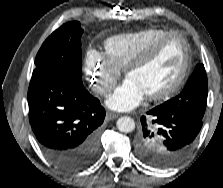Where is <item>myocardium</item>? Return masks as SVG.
Segmentation results:
<instances>
[{
	"mask_svg": "<svg viewBox=\"0 0 223 188\" xmlns=\"http://www.w3.org/2000/svg\"><path fill=\"white\" fill-rule=\"evenodd\" d=\"M171 37H179L184 44L185 47V55L184 61L181 68V71L178 77L174 80V82L169 85L168 87L164 88L163 90L147 95V99L150 101H161L168 99L174 96L176 93L180 91L183 87L184 83L186 82L190 68H191V61H192V52L191 46L188 39L178 31H169L164 33L163 35L156 38L152 41L148 46L142 49L124 68V73L128 77L130 72L133 71L135 68L139 67L147 60H149L154 53L158 50V48L169 38Z\"/></svg>",
	"mask_w": 223,
	"mask_h": 188,
	"instance_id": "f54148a6",
	"label": "myocardium"
}]
</instances>
